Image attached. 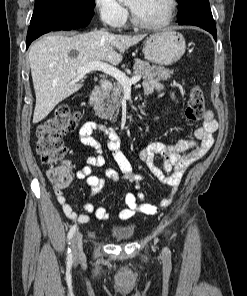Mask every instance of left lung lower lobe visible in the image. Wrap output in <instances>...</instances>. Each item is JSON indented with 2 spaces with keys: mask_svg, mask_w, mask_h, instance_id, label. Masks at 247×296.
Wrapping results in <instances>:
<instances>
[{
  "mask_svg": "<svg viewBox=\"0 0 247 296\" xmlns=\"http://www.w3.org/2000/svg\"><path fill=\"white\" fill-rule=\"evenodd\" d=\"M179 24L195 25L201 27L210 32L213 35L215 41H217L216 25L209 5H199L189 14L179 18Z\"/></svg>",
  "mask_w": 247,
  "mask_h": 296,
  "instance_id": "0a47b994",
  "label": "left lung lower lobe"
}]
</instances>
